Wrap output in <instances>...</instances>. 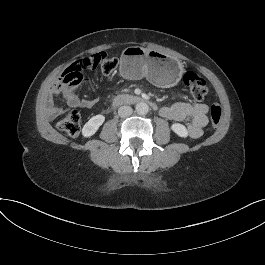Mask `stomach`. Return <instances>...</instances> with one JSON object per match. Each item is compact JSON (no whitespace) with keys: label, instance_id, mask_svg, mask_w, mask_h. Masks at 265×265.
<instances>
[{"label":"stomach","instance_id":"1","mask_svg":"<svg viewBox=\"0 0 265 265\" xmlns=\"http://www.w3.org/2000/svg\"><path fill=\"white\" fill-rule=\"evenodd\" d=\"M120 73L128 79L146 77L157 86L172 87L180 80L182 65L164 52L131 46L121 54Z\"/></svg>","mask_w":265,"mask_h":265}]
</instances>
